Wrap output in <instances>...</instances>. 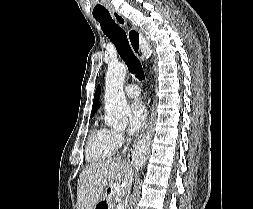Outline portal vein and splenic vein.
<instances>
[{
    "label": "portal vein and splenic vein",
    "mask_w": 253,
    "mask_h": 209,
    "mask_svg": "<svg viewBox=\"0 0 253 209\" xmlns=\"http://www.w3.org/2000/svg\"><path fill=\"white\" fill-rule=\"evenodd\" d=\"M116 191L119 192L120 191V188L119 187H116ZM124 206L122 204H118L117 208L116 209H123Z\"/></svg>",
    "instance_id": "obj_1"
}]
</instances>
